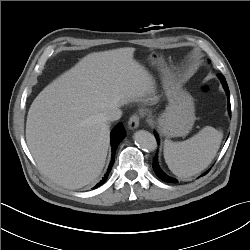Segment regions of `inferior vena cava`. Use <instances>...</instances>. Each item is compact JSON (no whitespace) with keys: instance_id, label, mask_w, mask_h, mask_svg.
<instances>
[{"instance_id":"602c4592","label":"inferior vena cava","mask_w":250,"mask_h":250,"mask_svg":"<svg viewBox=\"0 0 250 250\" xmlns=\"http://www.w3.org/2000/svg\"><path fill=\"white\" fill-rule=\"evenodd\" d=\"M122 111L118 107H113L104 113L106 121H116L121 118Z\"/></svg>"}]
</instances>
